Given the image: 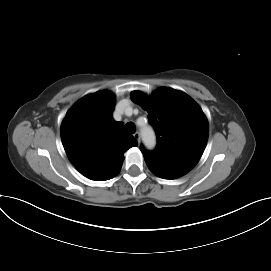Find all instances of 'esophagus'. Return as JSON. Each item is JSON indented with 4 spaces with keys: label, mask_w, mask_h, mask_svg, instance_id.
Here are the masks:
<instances>
[{
    "label": "esophagus",
    "mask_w": 271,
    "mask_h": 271,
    "mask_svg": "<svg viewBox=\"0 0 271 271\" xmlns=\"http://www.w3.org/2000/svg\"><path fill=\"white\" fill-rule=\"evenodd\" d=\"M134 138L137 140L138 143H140V138H141V136H140V133H139V132H135V133H134Z\"/></svg>",
    "instance_id": "obj_1"
}]
</instances>
